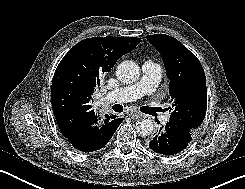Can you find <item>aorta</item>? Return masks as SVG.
Wrapping results in <instances>:
<instances>
[{
    "label": "aorta",
    "mask_w": 245,
    "mask_h": 189,
    "mask_svg": "<svg viewBox=\"0 0 245 189\" xmlns=\"http://www.w3.org/2000/svg\"><path fill=\"white\" fill-rule=\"evenodd\" d=\"M116 76L124 84L136 82L140 77V68L138 64L131 60L121 62L116 69ZM136 131L141 136L150 135L154 130V122L151 119L144 118L136 122Z\"/></svg>",
    "instance_id": "obj_1"
}]
</instances>
